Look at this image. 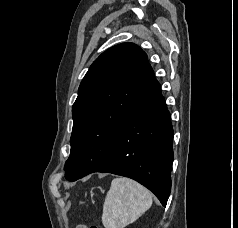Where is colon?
Masks as SVG:
<instances>
[{
  "label": "colon",
  "instance_id": "obj_1",
  "mask_svg": "<svg viewBox=\"0 0 238 228\" xmlns=\"http://www.w3.org/2000/svg\"><path fill=\"white\" fill-rule=\"evenodd\" d=\"M79 228H99L97 226H85V225H80Z\"/></svg>",
  "mask_w": 238,
  "mask_h": 228
}]
</instances>
